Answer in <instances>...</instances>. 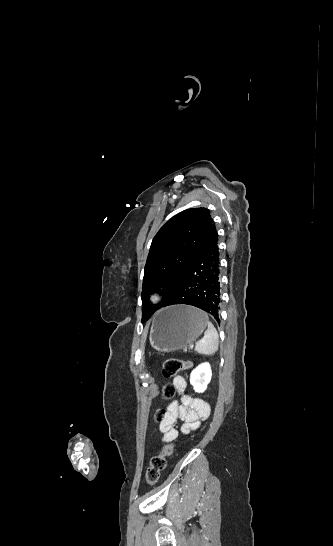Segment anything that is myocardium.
I'll return each instance as SVG.
<instances>
[{
    "label": "myocardium",
    "mask_w": 333,
    "mask_h": 546,
    "mask_svg": "<svg viewBox=\"0 0 333 546\" xmlns=\"http://www.w3.org/2000/svg\"><path fill=\"white\" fill-rule=\"evenodd\" d=\"M162 298V292L160 290H152L149 295V300L152 303H158Z\"/></svg>",
    "instance_id": "obj_1"
}]
</instances>
